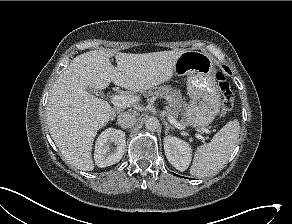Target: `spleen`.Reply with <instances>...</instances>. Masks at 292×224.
Returning <instances> with one entry per match:
<instances>
[{"mask_svg": "<svg viewBox=\"0 0 292 224\" xmlns=\"http://www.w3.org/2000/svg\"><path fill=\"white\" fill-rule=\"evenodd\" d=\"M239 133V121L234 119L222 127L209 143L199 146L190 168V174L203 178L218 173L236 147Z\"/></svg>", "mask_w": 292, "mask_h": 224, "instance_id": "1", "label": "spleen"}]
</instances>
